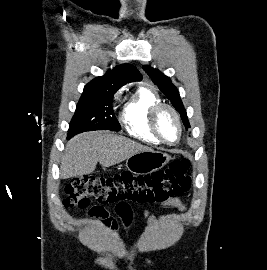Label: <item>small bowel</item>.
<instances>
[{
    "mask_svg": "<svg viewBox=\"0 0 267 270\" xmlns=\"http://www.w3.org/2000/svg\"><path fill=\"white\" fill-rule=\"evenodd\" d=\"M164 207H173L179 210H184L185 205L179 198L169 199L162 204ZM116 214L119 219L125 224L129 225L133 219V211L130 205L126 202H120L116 206ZM89 216L98 222H100L104 227L117 229V221L110 217L109 213L102 207H94L90 212ZM142 216L144 217L147 226L153 228L156 225V218L154 215L150 214L147 210L142 211Z\"/></svg>",
    "mask_w": 267,
    "mask_h": 270,
    "instance_id": "small-bowel-1",
    "label": "small bowel"
}]
</instances>
